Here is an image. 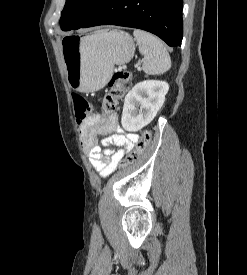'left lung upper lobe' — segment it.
<instances>
[{
    "mask_svg": "<svg viewBox=\"0 0 247 275\" xmlns=\"http://www.w3.org/2000/svg\"><path fill=\"white\" fill-rule=\"evenodd\" d=\"M105 0H66L60 26L64 31L81 27Z\"/></svg>",
    "mask_w": 247,
    "mask_h": 275,
    "instance_id": "left-lung-upper-lobe-1",
    "label": "left lung upper lobe"
}]
</instances>
